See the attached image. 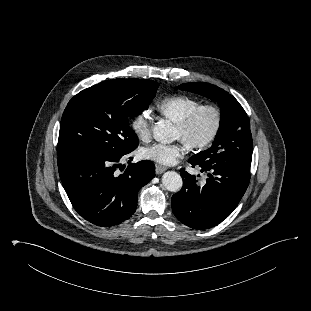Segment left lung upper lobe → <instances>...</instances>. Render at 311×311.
Instances as JSON below:
<instances>
[{"label": "left lung upper lobe", "mask_w": 311, "mask_h": 311, "mask_svg": "<svg viewBox=\"0 0 311 311\" xmlns=\"http://www.w3.org/2000/svg\"><path fill=\"white\" fill-rule=\"evenodd\" d=\"M178 88L208 97L221 107L220 127L213 145L189 160L210 164L240 162L251 165L253 144L250 121L240 103L223 89L204 82L185 83Z\"/></svg>", "instance_id": "5c2ea615"}]
</instances>
